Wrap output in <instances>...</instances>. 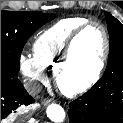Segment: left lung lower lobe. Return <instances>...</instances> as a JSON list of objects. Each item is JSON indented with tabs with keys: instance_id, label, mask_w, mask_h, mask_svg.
I'll return each mask as SVG.
<instances>
[{
	"instance_id": "obj_1",
	"label": "left lung lower lobe",
	"mask_w": 123,
	"mask_h": 123,
	"mask_svg": "<svg viewBox=\"0 0 123 123\" xmlns=\"http://www.w3.org/2000/svg\"><path fill=\"white\" fill-rule=\"evenodd\" d=\"M69 123H123V78L97 83L69 104Z\"/></svg>"
}]
</instances>
